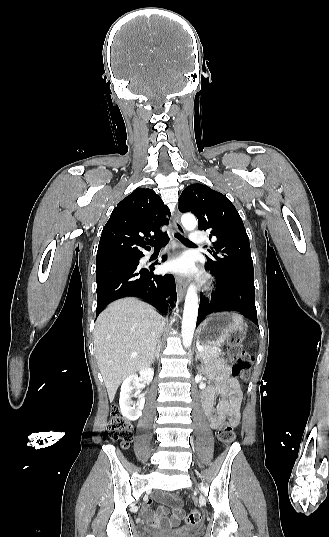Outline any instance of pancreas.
Here are the masks:
<instances>
[{
	"label": "pancreas",
	"instance_id": "obj_1",
	"mask_svg": "<svg viewBox=\"0 0 329 537\" xmlns=\"http://www.w3.org/2000/svg\"><path fill=\"white\" fill-rule=\"evenodd\" d=\"M204 361H216L219 356L222 355V351L214 346H204L203 351L200 352Z\"/></svg>",
	"mask_w": 329,
	"mask_h": 537
}]
</instances>
